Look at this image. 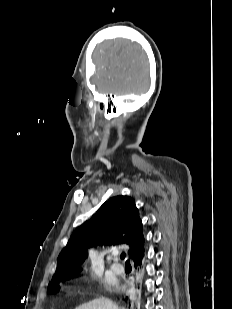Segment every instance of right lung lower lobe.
Here are the masks:
<instances>
[{
    "mask_svg": "<svg viewBox=\"0 0 232 309\" xmlns=\"http://www.w3.org/2000/svg\"><path fill=\"white\" fill-rule=\"evenodd\" d=\"M143 256H144V254H143ZM143 256H141L140 258H138L136 261H134V263H135V268L136 269H141V267H142V258H143ZM128 300V297H126V299H125V301H127Z\"/></svg>",
    "mask_w": 232,
    "mask_h": 309,
    "instance_id": "right-lung-lower-lobe-1",
    "label": "right lung lower lobe"
}]
</instances>
